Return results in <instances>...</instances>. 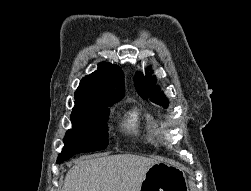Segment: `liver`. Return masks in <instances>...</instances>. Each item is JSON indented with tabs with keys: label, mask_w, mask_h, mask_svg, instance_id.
<instances>
[{
	"label": "liver",
	"mask_w": 251,
	"mask_h": 191,
	"mask_svg": "<svg viewBox=\"0 0 251 191\" xmlns=\"http://www.w3.org/2000/svg\"><path fill=\"white\" fill-rule=\"evenodd\" d=\"M154 163L157 159L133 153L81 157L67 171L62 191H140Z\"/></svg>",
	"instance_id": "obj_1"
}]
</instances>
